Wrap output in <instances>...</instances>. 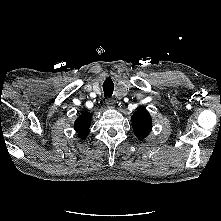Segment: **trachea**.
Masks as SVG:
<instances>
[{"label":"trachea","instance_id":"trachea-1","mask_svg":"<svg viewBox=\"0 0 221 221\" xmlns=\"http://www.w3.org/2000/svg\"><path fill=\"white\" fill-rule=\"evenodd\" d=\"M114 90V83L111 78H106L103 83V91L105 98H110Z\"/></svg>","mask_w":221,"mask_h":221}]
</instances>
